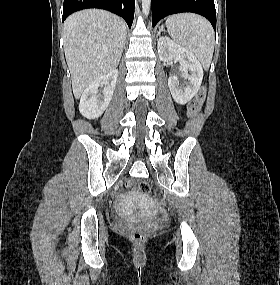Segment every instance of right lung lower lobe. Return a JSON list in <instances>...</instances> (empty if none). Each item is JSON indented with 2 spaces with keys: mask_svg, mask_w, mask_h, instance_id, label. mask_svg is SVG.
Masks as SVG:
<instances>
[{
  "mask_svg": "<svg viewBox=\"0 0 280 285\" xmlns=\"http://www.w3.org/2000/svg\"><path fill=\"white\" fill-rule=\"evenodd\" d=\"M134 7L135 0H64L62 21L78 10L100 8L123 17L128 26L131 27Z\"/></svg>",
  "mask_w": 280,
  "mask_h": 285,
  "instance_id": "right-lung-lower-lobe-1",
  "label": "right lung lower lobe"
}]
</instances>
